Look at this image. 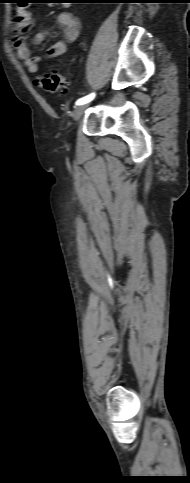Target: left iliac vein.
I'll return each mask as SVG.
<instances>
[{"instance_id":"left-iliac-vein-1","label":"left iliac vein","mask_w":190,"mask_h":483,"mask_svg":"<svg viewBox=\"0 0 190 483\" xmlns=\"http://www.w3.org/2000/svg\"><path fill=\"white\" fill-rule=\"evenodd\" d=\"M89 106L88 103L86 104H82V105H78L74 111H73V118L75 121H79L81 115L83 114V112L85 111V109Z\"/></svg>"}]
</instances>
